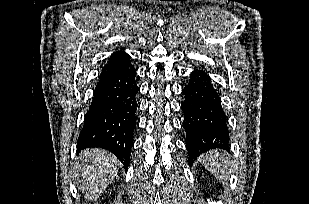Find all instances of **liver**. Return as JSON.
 Segmentation results:
<instances>
[{
	"instance_id": "6515ba94",
	"label": "liver",
	"mask_w": 309,
	"mask_h": 204,
	"mask_svg": "<svg viewBox=\"0 0 309 204\" xmlns=\"http://www.w3.org/2000/svg\"><path fill=\"white\" fill-rule=\"evenodd\" d=\"M119 166L118 159L104 149L84 150L74 166L75 181L84 197L96 199L114 179Z\"/></svg>"
}]
</instances>
